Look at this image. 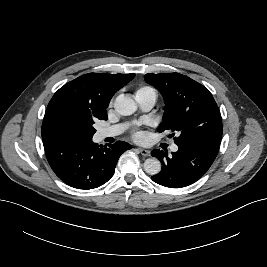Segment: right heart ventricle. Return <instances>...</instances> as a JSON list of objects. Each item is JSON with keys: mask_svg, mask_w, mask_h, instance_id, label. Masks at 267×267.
<instances>
[{"mask_svg": "<svg viewBox=\"0 0 267 267\" xmlns=\"http://www.w3.org/2000/svg\"><path fill=\"white\" fill-rule=\"evenodd\" d=\"M150 93L156 94L153 88L149 86H143V87L138 88L135 94L136 96H139V95H145V94H150Z\"/></svg>", "mask_w": 267, "mask_h": 267, "instance_id": "obj_1", "label": "right heart ventricle"}]
</instances>
